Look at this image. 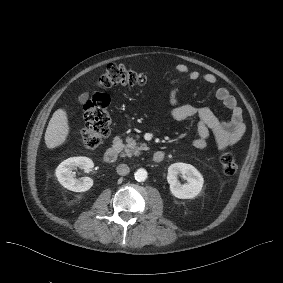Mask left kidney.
<instances>
[{"instance_id": "left-kidney-1", "label": "left kidney", "mask_w": 283, "mask_h": 283, "mask_svg": "<svg viewBox=\"0 0 283 283\" xmlns=\"http://www.w3.org/2000/svg\"><path fill=\"white\" fill-rule=\"evenodd\" d=\"M181 174L187 180L181 184L177 175ZM167 181L173 196L179 199H191L196 197L202 190L204 179L201 173L187 163H174L168 168Z\"/></svg>"}]
</instances>
